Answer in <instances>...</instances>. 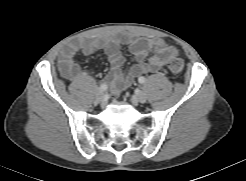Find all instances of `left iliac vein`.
Wrapping results in <instances>:
<instances>
[{
    "instance_id": "left-iliac-vein-1",
    "label": "left iliac vein",
    "mask_w": 246,
    "mask_h": 181,
    "mask_svg": "<svg viewBox=\"0 0 246 181\" xmlns=\"http://www.w3.org/2000/svg\"><path fill=\"white\" fill-rule=\"evenodd\" d=\"M135 100L139 103H145L147 100L146 94L144 92H139L134 96Z\"/></svg>"
}]
</instances>
